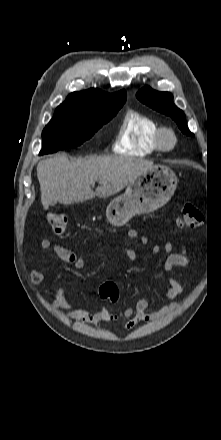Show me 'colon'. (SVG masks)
I'll use <instances>...</instances> for the list:
<instances>
[{"label": "colon", "instance_id": "1", "mask_svg": "<svg viewBox=\"0 0 221 440\" xmlns=\"http://www.w3.org/2000/svg\"><path fill=\"white\" fill-rule=\"evenodd\" d=\"M48 221L57 234L64 233L69 224L70 218L64 212H50L48 215ZM203 223V214L195 206L191 204H185L181 208V214L178 220L179 227L197 228ZM99 294L102 298H109L115 300L119 295V289L116 284L112 282H106L99 288Z\"/></svg>", "mask_w": 221, "mask_h": 440}]
</instances>
